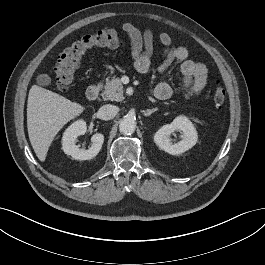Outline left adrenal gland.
<instances>
[{"mask_svg": "<svg viewBox=\"0 0 265 265\" xmlns=\"http://www.w3.org/2000/svg\"><path fill=\"white\" fill-rule=\"evenodd\" d=\"M157 110H158L157 108L148 109L146 111H143V114H144V116H150L152 113H154Z\"/></svg>", "mask_w": 265, "mask_h": 265, "instance_id": "left-adrenal-gland-1", "label": "left adrenal gland"}]
</instances>
